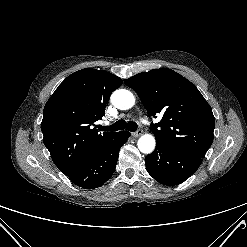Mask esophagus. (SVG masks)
<instances>
[{"label": "esophagus", "mask_w": 247, "mask_h": 247, "mask_svg": "<svg viewBox=\"0 0 247 247\" xmlns=\"http://www.w3.org/2000/svg\"><path fill=\"white\" fill-rule=\"evenodd\" d=\"M142 133H143L142 130H137L136 132H133V133H132V136H133V137H139V136L142 135Z\"/></svg>", "instance_id": "esophagus-1"}]
</instances>
